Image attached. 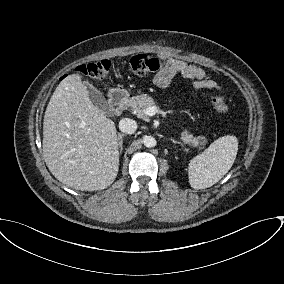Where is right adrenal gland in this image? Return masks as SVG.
Segmentation results:
<instances>
[{
    "instance_id": "2a0ac1e0",
    "label": "right adrenal gland",
    "mask_w": 284,
    "mask_h": 284,
    "mask_svg": "<svg viewBox=\"0 0 284 284\" xmlns=\"http://www.w3.org/2000/svg\"><path fill=\"white\" fill-rule=\"evenodd\" d=\"M125 136V134L123 133H118L117 135V142H118V146L120 149V153H122L123 151V137Z\"/></svg>"
}]
</instances>
